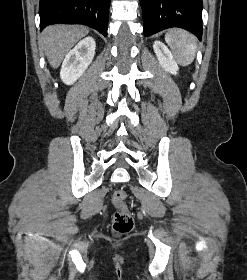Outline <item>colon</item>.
<instances>
[{
    "mask_svg": "<svg viewBox=\"0 0 247 280\" xmlns=\"http://www.w3.org/2000/svg\"><path fill=\"white\" fill-rule=\"evenodd\" d=\"M126 199L127 193L123 189L115 191L112 196V202L116 208L112 220V231L116 235L126 234L133 229V214L127 206Z\"/></svg>",
    "mask_w": 247,
    "mask_h": 280,
    "instance_id": "colon-1",
    "label": "colon"
}]
</instances>
